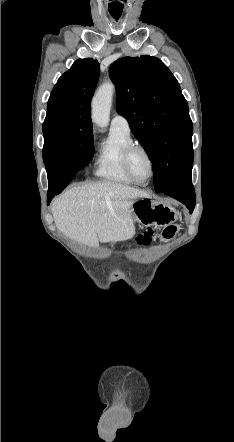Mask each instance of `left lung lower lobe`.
<instances>
[{
	"label": "left lung lower lobe",
	"mask_w": 234,
	"mask_h": 442,
	"mask_svg": "<svg viewBox=\"0 0 234 442\" xmlns=\"http://www.w3.org/2000/svg\"><path fill=\"white\" fill-rule=\"evenodd\" d=\"M192 165L185 171L182 177L174 181L162 192L179 200L189 209L192 213L195 207V192L191 179Z\"/></svg>",
	"instance_id": "0a47b994"
}]
</instances>
